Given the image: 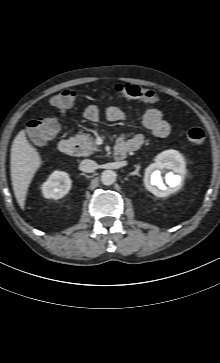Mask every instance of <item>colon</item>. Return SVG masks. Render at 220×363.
I'll return each mask as SVG.
<instances>
[{
	"label": "colon",
	"mask_w": 220,
	"mask_h": 363,
	"mask_svg": "<svg viewBox=\"0 0 220 363\" xmlns=\"http://www.w3.org/2000/svg\"><path fill=\"white\" fill-rule=\"evenodd\" d=\"M115 93L121 98L139 99L145 103L155 105L160 102L159 96L152 90L136 84L119 83L114 86ZM76 92L66 88L56 93L50 105L56 109H68L74 106ZM59 131V121L55 116H46L32 120L26 127L29 139L35 144H43L53 139ZM186 138L193 144L201 145L205 142V132L198 127H191L186 131Z\"/></svg>",
	"instance_id": "colon-1"
}]
</instances>
